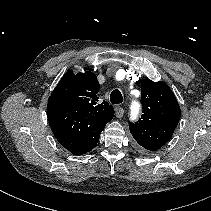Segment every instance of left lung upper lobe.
Listing matches in <instances>:
<instances>
[{
  "mask_svg": "<svg viewBox=\"0 0 211 211\" xmlns=\"http://www.w3.org/2000/svg\"><path fill=\"white\" fill-rule=\"evenodd\" d=\"M143 114L129 129L137 143L148 151H157L173 135L181 116L174 93L164 82L145 78L141 82Z\"/></svg>",
  "mask_w": 211,
  "mask_h": 211,
  "instance_id": "5c2ea615",
  "label": "left lung upper lobe"
}]
</instances>
